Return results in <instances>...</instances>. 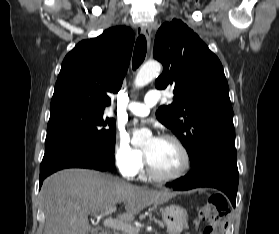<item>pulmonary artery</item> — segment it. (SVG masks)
<instances>
[{
    "label": "pulmonary artery",
    "instance_id": "pulmonary-artery-1",
    "mask_svg": "<svg viewBox=\"0 0 279 234\" xmlns=\"http://www.w3.org/2000/svg\"><path fill=\"white\" fill-rule=\"evenodd\" d=\"M161 99V94L157 91H149L142 102L132 101L126 105V109L134 115L146 116L153 107Z\"/></svg>",
    "mask_w": 279,
    "mask_h": 234
}]
</instances>
